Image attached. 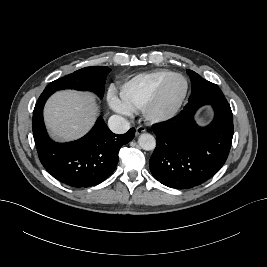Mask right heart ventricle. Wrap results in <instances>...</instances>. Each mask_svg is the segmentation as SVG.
<instances>
[{
	"mask_svg": "<svg viewBox=\"0 0 267 267\" xmlns=\"http://www.w3.org/2000/svg\"><path fill=\"white\" fill-rule=\"evenodd\" d=\"M172 74L168 70H159L132 77L120 87L121 101L131 111L144 109L161 82Z\"/></svg>",
	"mask_w": 267,
	"mask_h": 267,
	"instance_id": "e07e8e85",
	"label": "right heart ventricle"
}]
</instances>
